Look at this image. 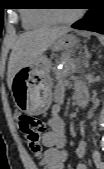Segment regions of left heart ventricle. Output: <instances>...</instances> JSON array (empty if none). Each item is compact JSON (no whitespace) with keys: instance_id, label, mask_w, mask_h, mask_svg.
Listing matches in <instances>:
<instances>
[{"instance_id":"left-heart-ventricle-1","label":"left heart ventricle","mask_w":104,"mask_h":169,"mask_svg":"<svg viewBox=\"0 0 104 169\" xmlns=\"http://www.w3.org/2000/svg\"><path fill=\"white\" fill-rule=\"evenodd\" d=\"M75 12H76V10H74V9H61V10H57L58 15L61 16V17H70Z\"/></svg>"}]
</instances>
